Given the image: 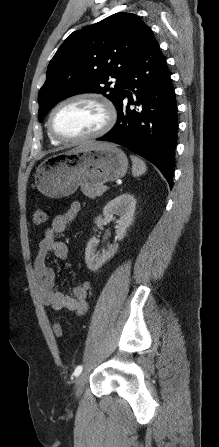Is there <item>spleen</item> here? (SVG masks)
Returning a JSON list of instances; mask_svg holds the SVG:
<instances>
[{
	"instance_id": "1",
	"label": "spleen",
	"mask_w": 219,
	"mask_h": 447,
	"mask_svg": "<svg viewBox=\"0 0 219 447\" xmlns=\"http://www.w3.org/2000/svg\"><path fill=\"white\" fill-rule=\"evenodd\" d=\"M132 160V173L134 177L144 174L147 170L145 162L136 156H131Z\"/></svg>"
}]
</instances>
